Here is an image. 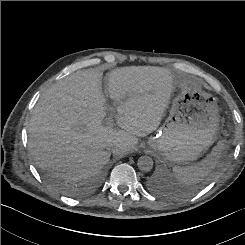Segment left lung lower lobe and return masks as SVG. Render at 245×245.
<instances>
[{"label":"left lung lower lobe","instance_id":"left-lung-lower-lobe-1","mask_svg":"<svg viewBox=\"0 0 245 245\" xmlns=\"http://www.w3.org/2000/svg\"><path fill=\"white\" fill-rule=\"evenodd\" d=\"M151 190L165 197H175L182 193L183 186L178 181H165L158 176H153L148 181Z\"/></svg>","mask_w":245,"mask_h":245}]
</instances>
